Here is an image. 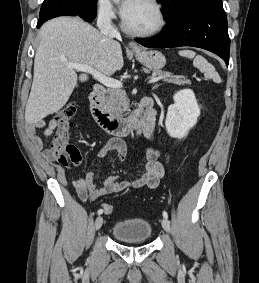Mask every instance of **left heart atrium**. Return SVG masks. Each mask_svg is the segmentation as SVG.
<instances>
[{"instance_id":"39dd6f15","label":"left heart atrium","mask_w":259,"mask_h":283,"mask_svg":"<svg viewBox=\"0 0 259 283\" xmlns=\"http://www.w3.org/2000/svg\"><path fill=\"white\" fill-rule=\"evenodd\" d=\"M138 0H120V12L123 17H126L134 8Z\"/></svg>"}]
</instances>
